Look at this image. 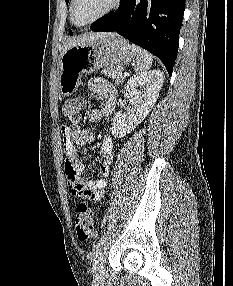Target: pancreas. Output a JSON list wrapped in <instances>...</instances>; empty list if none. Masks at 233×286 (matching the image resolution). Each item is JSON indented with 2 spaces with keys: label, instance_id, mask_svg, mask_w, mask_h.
Returning a JSON list of instances; mask_svg holds the SVG:
<instances>
[{
  "label": "pancreas",
  "instance_id": "pancreas-1",
  "mask_svg": "<svg viewBox=\"0 0 233 286\" xmlns=\"http://www.w3.org/2000/svg\"><path fill=\"white\" fill-rule=\"evenodd\" d=\"M107 77H110L115 84L123 83V67H109L102 71Z\"/></svg>",
  "mask_w": 233,
  "mask_h": 286
}]
</instances>
